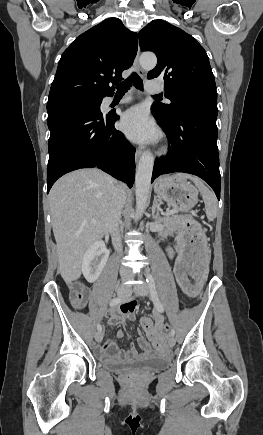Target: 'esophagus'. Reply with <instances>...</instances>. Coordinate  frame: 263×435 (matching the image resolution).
<instances>
[{"mask_svg": "<svg viewBox=\"0 0 263 435\" xmlns=\"http://www.w3.org/2000/svg\"><path fill=\"white\" fill-rule=\"evenodd\" d=\"M139 55H140V49L138 47V51L134 60V66L136 68V70L138 71V73L140 74L141 77H145V71L142 69L140 62H139ZM142 154V150L137 148L136 152H135V159L136 161L139 160L140 156Z\"/></svg>", "mask_w": 263, "mask_h": 435, "instance_id": "obj_1", "label": "esophagus"}]
</instances>
